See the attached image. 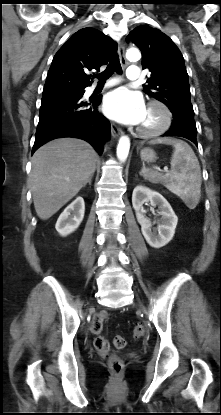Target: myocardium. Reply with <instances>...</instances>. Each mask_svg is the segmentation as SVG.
I'll return each mask as SVG.
<instances>
[{
  "label": "myocardium",
  "mask_w": 221,
  "mask_h": 415,
  "mask_svg": "<svg viewBox=\"0 0 221 415\" xmlns=\"http://www.w3.org/2000/svg\"><path fill=\"white\" fill-rule=\"evenodd\" d=\"M147 108H157L162 115L161 122L156 127L151 129H145L139 126L137 128V133L142 137L149 138L158 136L167 131L172 123V112L169 109V107L162 101L151 100L150 102H148Z\"/></svg>",
  "instance_id": "1"
}]
</instances>
